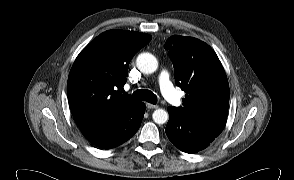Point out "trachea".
Here are the masks:
<instances>
[{"label":"trachea","mask_w":294,"mask_h":180,"mask_svg":"<svg viewBox=\"0 0 294 180\" xmlns=\"http://www.w3.org/2000/svg\"><path fill=\"white\" fill-rule=\"evenodd\" d=\"M133 99L143 100L151 104H156L157 96L150 90L140 89L133 93L131 96Z\"/></svg>","instance_id":"1"}]
</instances>
